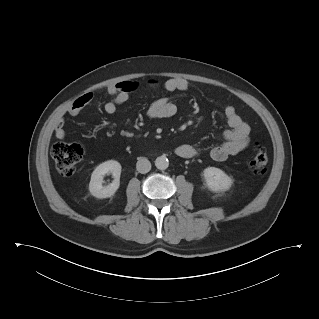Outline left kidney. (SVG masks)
Instances as JSON below:
<instances>
[{
	"mask_svg": "<svg viewBox=\"0 0 319 319\" xmlns=\"http://www.w3.org/2000/svg\"><path fill=\"white\" fill-rule=\"evenodd\" d=\"M203 176L207 187L214 192L227 191L232 186V179L221 169L208 167L204 169Z\"/></svg>",
	"mask_w": 319,
	"mask_h": 319,
	"instance_id": "5707ae66",
	"label": "left kidney"
}]
</instances>
